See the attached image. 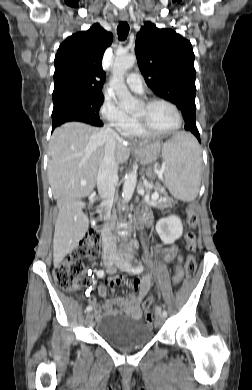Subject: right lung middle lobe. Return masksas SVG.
Masks as SVG:
<instances>
[{
    "mask_svg": "<svg viewBox=\"0 0 252 390\" xmlns=\"http://www.w3.org/2000/svg\"><path fill=\"white\" fill-rule=\"evenodd\" d=\"M103 101L104 96H73L53 101L52 121L64 118H78L95 124H102L99 119V110Z\"/></svg>",
    "mask_w": 252,
    "mask_h": 390,
    "instance_id": "1",
    "label": "right lung middle lobe"
}]
</instances>
